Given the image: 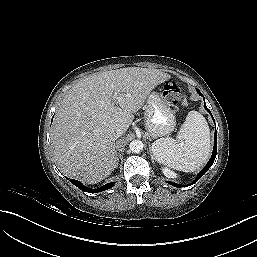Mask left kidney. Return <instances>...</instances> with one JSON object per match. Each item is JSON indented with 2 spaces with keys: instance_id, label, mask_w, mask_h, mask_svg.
Masks as SVG:
<instances>
[{
  "instance_id": "5707ae66",
  "label": "left kidney",
  "mask_w": 257,
  "mask_h": 257,
  "mask_svg": "<svg viewBox=\"0 0 257 257\" xmlns=\"http://www.w3.org/2000/svg\"><path fill=\"white\" fill-rule=\"evenodd\" d=\"M162 171H163V174L168 178H174L176 176V174L170 171L169 169L163 168Z\"/></svg>"
}]
</instances>
